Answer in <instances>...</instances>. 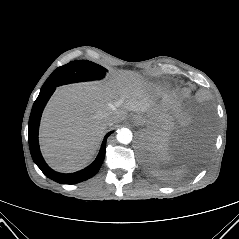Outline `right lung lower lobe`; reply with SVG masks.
<instances>
[{"label": "right lung lower lobe", "instance_id": "98d812e1", "mask_svg": "<svg viewBox=\"0 0 239 239\" xmlns=\"http://www.w3.org/2000/svg\"><path fill=\"white\" fill-rule=\"evenodd\" d=\"M54 90L55 88L46 91H40L36 101L33 104L29 118L28 130L30 152L36 165L48 178L61 184H75L93 177L98 172L104 160L106 139L110 133L106 135L96 160L87 168L70 174L58 173L49 168L39 150L38 129L42 111Z\"/></svg>", "mask_w": 239, "mask_h": 239}]
</instances>
